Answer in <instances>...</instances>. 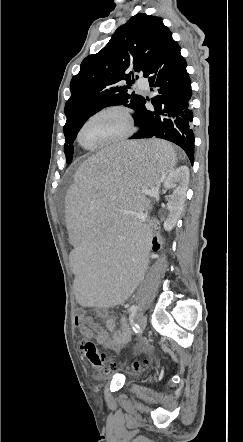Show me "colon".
Returning a JSON list of instances; mask_svg holds the SVG:
<instances>
[{
	"label": "colon",
	"instance_id": "colon-1",
	"mask_svg": "<svg viewBox=\"0 0 243 442\" xmlns=\"http://www.w3.org/2000/svg\"><path fill=\"white\" fill-rule=\"evenodd\" d=\"M160 224V217L159 216H150L149 217V227H152L148 230V235L150 236V243L149 246L151 247V251L155 254H160L163 251L162 248V242H163V226ZM81 352L82 354L87 358V360L90 362V364L97 370L103 371V372H111L114 370L119 369L118 365L116 363L110 362L106 360V356L104 353L100 352L96 346V344L92 341H85L81 343ZM144 364L145 365H152L153 364V357L152 356H145L144 357ZM140 366L139 362H135L132 367L138 368Z\"/></svg>",
	"mask_w": 243,
	"mask_h": 442
}]
</instances>
